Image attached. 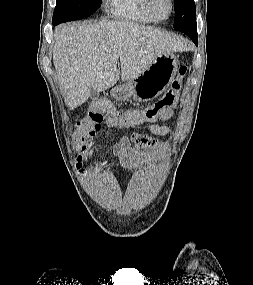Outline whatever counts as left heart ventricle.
I'll list each match as a JSON object with an SVG mask.
<instances>
[{"instance_id": "b2bd125f", "label": "left heart ventricle", "mask_w": 253, "mask_h": 285, "mask_svg": "<svg viewBox=\"0 0 253 285\" xmlns=\"http://www.w3.org/2000/svg\"><path fill=\"white\" fill-rule=\"evenodd\" d=\"M151 8L155 16L164 18L169 14L170 4L168 0H151Z\"/></svg>"}]
</instances>
